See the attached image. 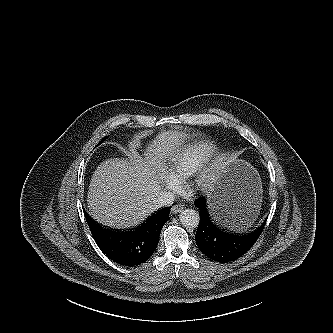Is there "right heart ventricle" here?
<instances>
[{
  "label": "right heart ventricle",
  "instance_id": "obj_1",
  "mask_svg": "<svg viewBox=\"0 0 333 333\" xmlns=\"http://www.w3.org/2000/svg\"><path fill=\"white\" fill-rule=\"evenodd\" d=\"M214 152L215 147L209 142L188 144L169 157V169L176 178H187L207 162Z\"/></svg>",
  "mask_w": 333,
  "mask_h": 333
}]
</instances>
